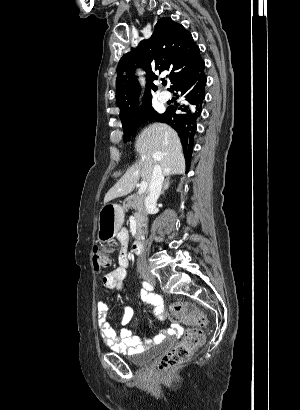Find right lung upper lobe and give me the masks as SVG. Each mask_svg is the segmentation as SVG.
I'll use <instances>...</instances> for the list:
<instances>
[{"instance_id": "cb5924a9", "label": "right lung upper lobe", "mask_w": 300, "mask_h": 410, "mask_svg": "<svg viewBox=\"0 0 300 410\" xmlns=\"http://www.w3.org/2000/svg\"><path fill=\"white\" fill-rule=\"evenodd\" d=\"M200 57L199 47L189 31L170 17L158 20L150 39L141 41L136 50L132 49L119 61L116 100L122 123L134 118L151 102V91L157 89L153 84V80L158 78L157 74L168 70V77L173 85ZM138 67L146 71L148 82L142 105L139 101L140 85L135 76ZM192 151V148H184L187 157L192 155Z\"/></svg>"}]
</instances>
